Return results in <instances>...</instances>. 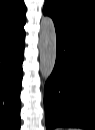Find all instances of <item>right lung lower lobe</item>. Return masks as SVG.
<instances>
[{"label":"right lung lower lobe","mask_w":95,"mask_h":130,"mask_svg":"<svg viewBox=\"0 0 95 130\" xmlns=\"http://www.w3.org/2000/svg\"><path fill=\"white\" fill-rule=\"evenodd\" d=\"M25 31L0 40V127L20 130V91Z\"/></svg>","instance_id":"98d812e1"}]
</instances>
